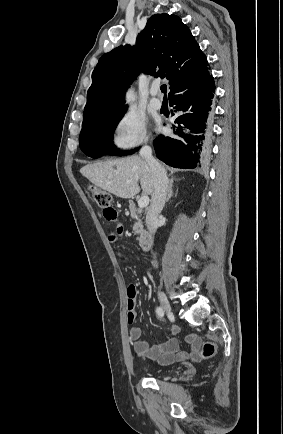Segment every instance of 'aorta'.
I'll use <instances>...</instances> for the list:
<instances>
[{
	"instance_id": "762f6f07",
	"label": "aorta",
	"mask_w": 283,
	"mask_h": 434,
	"mask_svg": "<svg viewBox=\"0 0 283 434\" xmlns=\"http://www.w3.org/2000/svg\"><path fill=\"white\" fill-rule=\"evenodd\" d=\"M134 100V93L133 91H128L126 94V102L131 103Z\"/></svg>"
}]
</instances>
